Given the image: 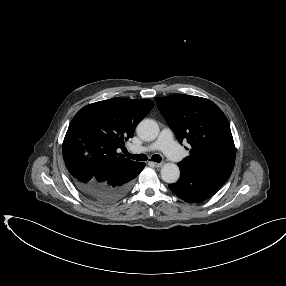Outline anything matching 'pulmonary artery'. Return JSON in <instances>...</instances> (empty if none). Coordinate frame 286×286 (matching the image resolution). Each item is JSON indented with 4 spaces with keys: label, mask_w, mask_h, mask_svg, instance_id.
<instances>
[{
    "label": "pulmonary artery",
    "mask_w": 286,
    "mask_h": 286,
    "mask_svg": "<svg viewBox=\"0 0 286 286\" xmlns=\"http://www.w3.org/2000/svg\"><path fill=\"white\" fill-rule=\"evenodd\" d=\"M131 150L136 153L150 152L154 150H162L171 159H176L180 156L181 151L174 141L173 132L165 128L161 131L158 139L147 146L131 147Z\"/></svg>",
    "instance_id": "e3ab8cb5"
}]
</instances>
